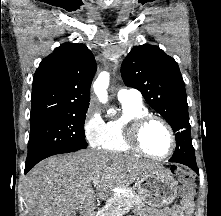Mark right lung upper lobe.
Returning a JSON list of instances; mask_svg holds the SVG:
<instances>
[{
	"label": "right lung upper lobe",
	"mask_w": 221,
	"mask_h": 216,
	"mask_svg": "<svg viewBox=\"0 0 221 216\" xmlns=\"http://www.w3.org/2000/svg\"><path fill=\"white\" fill-rule=\"evenodd\" d=\"M96 68L94 56L85 45L64 43L56 48L34 75L30 121L88 108Z\"/></svg>",
	"instance_id": "cb5924a9"
}]
</instances>
